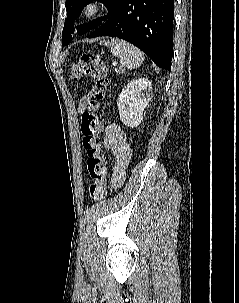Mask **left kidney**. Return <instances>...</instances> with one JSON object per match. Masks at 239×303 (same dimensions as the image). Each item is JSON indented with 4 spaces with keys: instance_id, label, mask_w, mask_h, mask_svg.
<instances>
[{
    "instance_id": "left-kidney-1",
    "label": "left kidney",
    "mask_w": 239,
    "mask_h": 303,
    "mask_svg": "<svg viewBox=\"0 0 239 303\" xmlns=\"http://www.w3.org/2000/svg\"><path fill=\"white\" fill-rule=\"evenodd\" d=\"M152 97V85L140 78L128 83L119 94L117 107L121 122L131 128L143 120V111Z\"/></svg>"
}]
</instances>
